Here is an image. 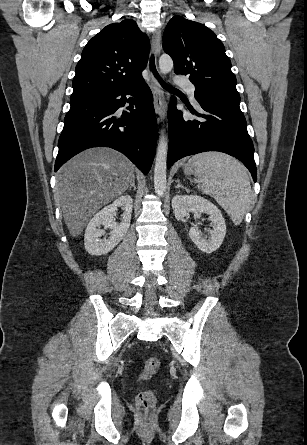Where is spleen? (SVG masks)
<instances>
[{
	"mask_svg": "<svg viewBox=\"0 0 307 445\" xmlns=\"http://www.w3.org/2000/svg\"><path fill=\"white\" fill-rule=\"evenodd\" d=\"M184 172H195V182H202L198 188L215 198L234 225H241L244 214L253 208V194L248 172L239 160L224 152H200L189 158Z\"/></svg>",
	"mask_w": 307,
	"mask_h": 445,
	"instance_id": "spleen-1",
	"label": "spleen"
}]
</instances>
